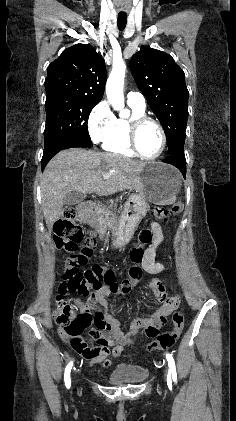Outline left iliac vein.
<instances>
[{"instance_id":"4c4485c4","label":"left iliac vein","mask_w":236,"mask_h":421,"mask_svg":"<svg viewBox=\"0 0 236 421\" xmlns=\"http://www.w3.org/2000/svg\"><path fill=\"white\" fill-rule=\"evenodd\" d=\"M167 373H168V367H166L165 369V377H167Z\"/></svg>"}]
</instances>
